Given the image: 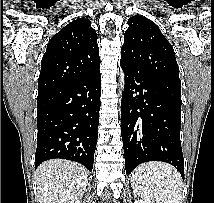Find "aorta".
I'll return each mask as SVG.
<instances>
[{
  "mask_svg": "<svg viewBox=\"0 0 214 203\" xmlns=\"http://www.w3.org/2000/svg\"><path fill=\"white\" fill-rule=\"evenodd\" d=\"M119 83H120L121 89L123 90L124 89V85H125V75H124L123 71L120 72Z\"/></svg>",
  "mask_w": 214,
  "mask_h": 203,
  "instance_id": "obj_1",
  "label": "aorta"
}]
</instances>
